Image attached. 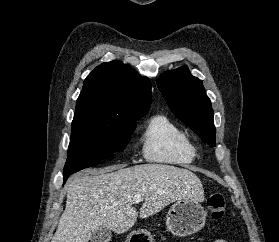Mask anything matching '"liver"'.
Instances as JSON below:
<instances>
[{"mask_svg":"<svg viewBox=\"0 0 279 242\" xmlns=\"http://www.w3.org/2000/svg\"><path fill=\"white\" fill-rule=\"evenodd\" d=\"M135 195L144 200L141 218L179 199L204 200L200 179L187 169L144 164L84 171L68 183L66 208L51 242H88L101 227L117 234L128 231L138 217Z\"/></svg>","mask_w":279,"mask_h":242,"instance_id":"1","label":"liver"}]
</instances>
